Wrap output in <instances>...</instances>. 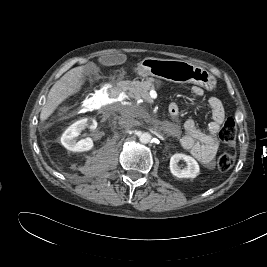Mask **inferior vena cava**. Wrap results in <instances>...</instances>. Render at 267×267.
Segmentation results:
<instances>
[{"label":"inferior vena cava","instance_id":"inferior-vena-cava-1","mask_svg":"<svg viewBox=\"0 0 267 267\" xmlns=\"http://www.w3.org/2000/svg\"><path fill=\"white\" fill-rule=\"evenodd\" d=\"M118 123L124 128H132L138 125V121L134 119V114L129 108H124L121 111V117Z\"/></svg>","mask_w":267,"mask_h":267}]
</instances>
